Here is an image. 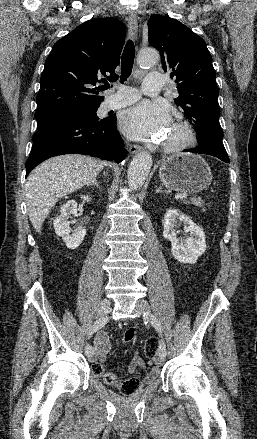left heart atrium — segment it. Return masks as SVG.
<instances>
[{
  "label": "left heart atrium",
  "instance_id": "39dd6f15",
  "mask_svg": "<svg viewBox=\"0 0 257 439\" xmlns=\"http://www.w3.org/2000/svg\"><path fill=\"white\" fill-rule=\"evenodd\" d=\"M170 114L160 103L143 101L123 110L120 129L132 138L154 139L170 126Z\"/></svg>",
  "mask_w": 257,
  "mask_h": 439
}]
</instances>
